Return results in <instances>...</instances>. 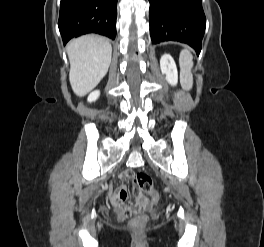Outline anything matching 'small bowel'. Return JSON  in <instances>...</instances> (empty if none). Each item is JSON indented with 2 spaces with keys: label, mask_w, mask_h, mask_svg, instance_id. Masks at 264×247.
Returning a JSON list of instances; mask_svg holds the SVG:
<instances>
[{
  "label": "small bowel",
  "mask_w": 264,
  "mask_h": 247,
  "mask_svg": "<svg viewBox=\"0 0 264 247\" xmlns=\"http://www.w3.org/2000/svg\"><path fill=\"white\" fill-rule=\"evenodd\" d=\"M131 176V174L129 172H124L122 174V178L123 179H128ZM143 198L142 194H138V199ZM112 199L114 203H119L123 200L127 199V190L125 189V187L120 188L119 190L115 191L112 195Z\"/></svg>",
  "instance_id": "small-bowel-1"
}]
</instances>
